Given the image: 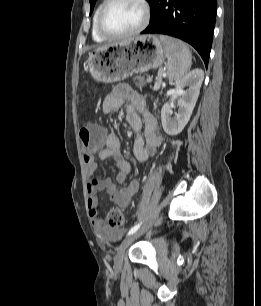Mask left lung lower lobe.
Instances as JSON below:
<instances>
[{"label": "left lung lower lobe", "mask_w": 261, "mask_h": 306, "mask_svg": "<svg viewBox=\"0 0 261 306\" xmlns=\"http://www.w3.org/2000/svg\"><path fill=\"white\" fill-rule=\"evenodd\" d=\"M149 26L141 34L177 37L191 44L207 67L212 46L217 0H153Z\"/></svg>", "instance_id": "left-lung-lower-lobe-1"}]
</instances>
